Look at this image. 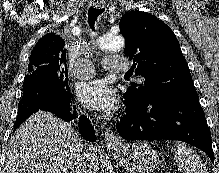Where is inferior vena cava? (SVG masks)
Segmentation results:
<instances>
[{"mask_svg": "<svg viewBox=\"0 0 219 173\" xmlns=\"http://www.w3.org/2000/svg\"><path fill=\"white\" fill-rule=\"evenodd\" d=\"M95 156V148L90 144H84L81 148L80 159L76 164V173H89L88 158Z\"/></svg>", "mask_w": 219, "mask_h": 173, "instance_id": "602c4592", "label": "inferior vena cava"}]
</instances>
